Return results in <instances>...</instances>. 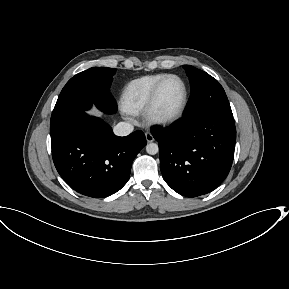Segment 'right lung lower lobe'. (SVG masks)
<instances>
[{"label":"right lung lower lobe","mask_w":289,"mask_h":289,"mask_svg":"<svg viewBox=\"0 0 289 289\" xmlns=\"http://www.w3.org/2000/svg\"><path fill=\"white\" fill-rule=\"evenodd\" d=\"M145 145L143 132L115 136L108 124L85 112L51 134L58 173L75 191L93 198L110 196L127 183L132 162Z\"/></svg>","instance_id":"obj_1"}]
</instances>
